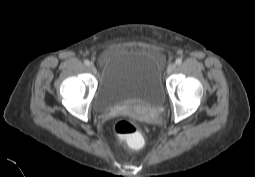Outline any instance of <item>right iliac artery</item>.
Returning <instances> with one entry per match:
<instances>
[{"label": "right iliac artery", "mask_w": 255, "mask_h": 177, "mask_svg": "<svg viewBox=\"0 0 255 177\" xmlns=\"http://www.w3.org/2000/svg\"><path fill=\"white\" fill-rule=\"evenodd\" d=\"M84 64H85L86 66H89V65H90V61H89V60H85V61H84Z\"/></svg>", "instance_id": "right-iliac-artery-1"}]
</instances>
